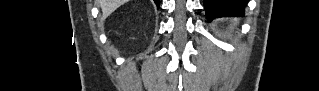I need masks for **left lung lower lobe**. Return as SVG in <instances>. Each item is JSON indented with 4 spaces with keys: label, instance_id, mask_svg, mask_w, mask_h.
Wrapping results in <instances>:
<instances>
[{
    "label": "left lung lower lobe",
    "instance_id": "left-lung-lower-lobe-1",
    "mask_svg": "<svg viewBox=\"0 0 319 91\" xmlns=\"http://www.w3.org/2000/svg\"><path fill=\"white\" fill-rule=\"evenodd\" d=\"M248 0H204L208 21L217 17L240 16Z\"/></svg>",
    "mask_w": 319,
    "mask_h": 91
}]
</instances>
